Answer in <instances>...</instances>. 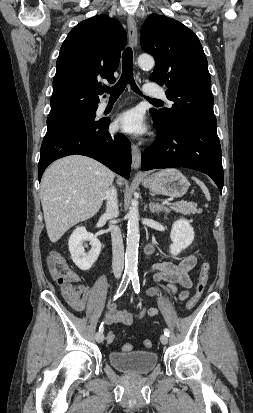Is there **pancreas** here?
Returning a JSON list of instances; mask_svg holds the SVG:
<instances>
[{"mask_svg":"<svg viewBox=\"0 0 253 413\" xmlns=\"http://www.w3.org/2000/svg\"><path fill=\"white\" fill-rule=\"evenodd\" d=\"M197 203L195 202H185V201H179L172 203L170 208L174 210L175 212H179L184 215H190V214H196L200 213L201 210L197 209Z\"/></svg>","mask_w":253,"mask_h":413,"instance_id":"1","label":"pancreas"}]
</instances>
